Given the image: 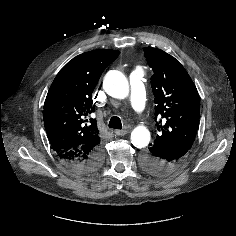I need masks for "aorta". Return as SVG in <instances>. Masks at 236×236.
I'll return each mask as SVG.
<instances>
[{
	"mask_svg": "<svg viewBox=\"0 0 236 236\" xmlns=\"http://www.w3.org/2000/svg\"><path fill=\"white\" fill-rule=\"evenodd\" d=\"M105 92L117 99L125 98L129 93V84L125 75L117 70L107 72L103 80ZM150 142V132L145 126H137L131 133V143L136 148H144Z\"/></svg>",
	"mask_w": 236,
	"mask_h": 236,
	"instance_id": "aorta-1",
	"label": "aorta"
}]
</instances>
